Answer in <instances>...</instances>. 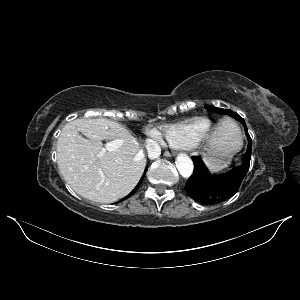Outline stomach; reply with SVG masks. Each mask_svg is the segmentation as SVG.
<instances>
[{
	"label": "stomach",
	"instance_id": "obj_1",
	"mask_svg": "<svg viewBox=\"0 0 300 300\" xmlns=\"http://www.w3.org/2000/svg\"><path fill=\"white\" fill-rule=\"evenodd\" d=\"M222 126L226 127L233 136L232 131L226 125L222 124ZM241 145V139L233 136L232 143L229 145L210 147L208 152L204 155V160L211 169L220 170L230 163L233 154L240 149Z\"/></svg>",
	"mask_w": 300,
	"mask_h": 300
}]
</instances>
